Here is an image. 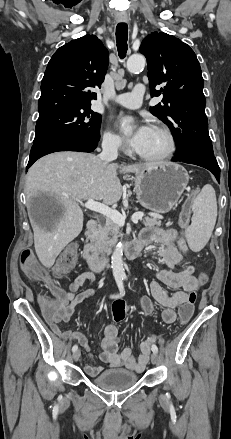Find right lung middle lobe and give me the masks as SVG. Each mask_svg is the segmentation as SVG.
<instances>
[{"label": "right lung middle lobe", "mask_w": 231, "mask_h": 439, "mask_svg": "<svg viewBox=\"0 0 231 439\" xmlns=\"http://www.w3.org/2000/svg\"><path fill=\"white\" fill-rule=\"evenodd\" d=\"M100 124L101 115L90 106L58 110L39 117L33 144L64 138L99 141Z\"/></svg>", "instance_id": "dd1d6c3e"}]
</instances>
